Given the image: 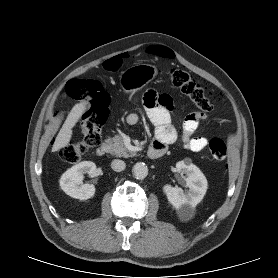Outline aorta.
<instances>
[{
    "label": "aorta",
    "mask_w": 278,
    "mask_h": 278,
    "mask_svg": "<svg viewBox=\"0 0 278 278\" xmlns=\"http://www.w3.org/2000/svg\"><path fill=\"white\" fill-rule=\"evenodd\" d=\"M133 174L137 179H144L148 175V167L145 163L138 162L133 167Z\"/></svg>",
    "instance_id": "obj_1"
}]
</instances>
